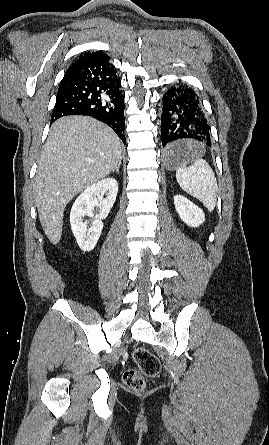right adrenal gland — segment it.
Listing matches in <instances>:
<instances>
[{
  "label": "right adrenal gland",
  "mask_w": 269,
  "mask_h": 445,
  "mask_svg": "<svg viewBox=\"0 0 269 445\" xmlns=\"http://www.w3.org/2000/svg\"><path fill=\"white\" fill-rule=\"evenodd\" d=\"M119 168H120V164L117 166L116 170L113 172H116L117 174L119 173Z\"/></svg>",
  "instance_id": "2a0ac1e0"
}]
</instances>
